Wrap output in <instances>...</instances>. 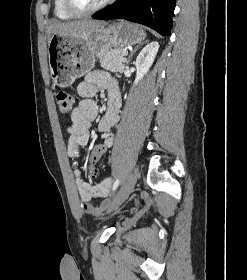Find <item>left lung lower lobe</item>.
Masks as SVG:
<instances>
[{
    "label": "left lung lower lobe",
    "instance_id": "obj_1",
    "mask_svg": "<svg viewBox=\"0 0 247 280\" xmlns=\"http://www.w3.org/2000/svg\"><path fill=\"white\" fill-rule=\"evenodd\" d=\"M175 0H117L94 19H126L146 25L162 36H170Z\"/></svg>",
    "mask_w": 247,
    "mask_h": 280
}]
</instances>
